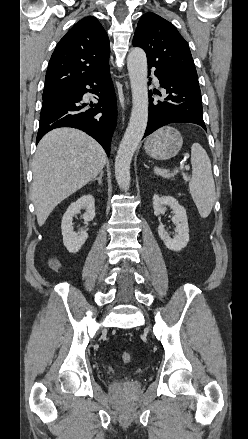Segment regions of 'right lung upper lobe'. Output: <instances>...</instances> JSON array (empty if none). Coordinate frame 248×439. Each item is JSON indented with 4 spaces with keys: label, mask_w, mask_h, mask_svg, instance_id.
<instances>
[{
    "label": "right lung upper lobe",
    "mask_w": 248,
    "mask_h": 439,
    "mask_svg": "<svg viewBox=\"0 0 248 439\" xmlns=\"http://www.w3.org/2000/svg\"><path fill=\"white\" fill-rule=\"evenodd\" d=\"M108 35L99 21L88 16L59 41L51 56L42 98L67 90L109 67Z\"/></svg>",
    "instance_id": "right-lung-upper-lobe-1"
}]
</instances>
